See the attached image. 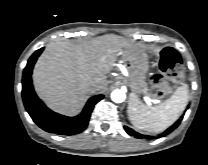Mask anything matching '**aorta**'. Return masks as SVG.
I'll use <instances>...</instances> for the list:
<instances>
[{
    "label": "aorta",
    "mask_w": 208,
    "mask_h": 165,
    "mask_svg": "<svg viewBox=\"0 0 208 165\" xmlns=\"http://www.w3.org/2000/svg\"><path fill=\"white\" fill-rule=\"evenodd\" d=\"M126 98V94L123 90H114L112 93H111V99L113 102L115 103H122Z\"/></svg>",
    "instance_id": "762f6f07"
}]
</instances>
